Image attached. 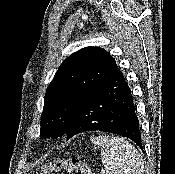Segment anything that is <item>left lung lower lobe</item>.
I'll list each match as a JSON object with an SVG mask.
<instances>
[{"instance_id": "1", "label": "left lung lower lobe", "mask_w": 175, "mask_h": 174, "mask_svg": "<svg viewBox=\"0 0 175 174\" xmlns=\"http://www.w3.org/2000/svg\"><path fill=\"white\" fill-rule=\"evenodd\" d=\"M131 90L120 69L87 92L79 101L67 139L86 131H105L133 140L142 150L139 121Z\"/></svg>"}]
</instances>
